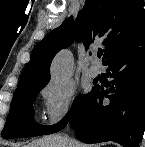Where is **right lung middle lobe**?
I'll return each mask as SVG.
<instances>
[{
	"instance_id": "right-lung-middle-lobe-1",
	"label": "right lung middle lobe",
	"mask_w": 145,
	"mask_h": 147,
	"mask_svg": "<svg viewBox=\"0 0 145 147\" xmlns=\"http://www.w3.org/2000/svg\"><path fill=\"white\" fill-rule=\"evenodd\" d=\"M44 87L34 86L15 91L6 124L1 133L4 139L47 135L62 130L70 119L80 111L92 92L78 96L74 100L70 112L60 122L52 126H43L34 122L32 104Z\"/></svg>"
}]
</instances>
